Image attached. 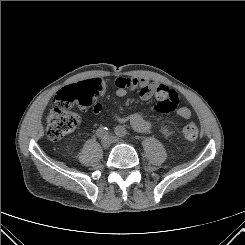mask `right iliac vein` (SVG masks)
<instances>
[{"instance_id": "63e3f726", "label": "right iliac vein", "mask_w": 245, "mask_h": 245, "mask_svg": "<svg viewBox=\"0 0 245 245\" xmlns=\"http://www.w3.org/2000/svg\"><path fill=\"white\" fill-rule=\"evenodd\" d=\"M101 145L104 149H108L111 145V141H110L109 137L103 138Z\"/></svg>"}]
</instances>
